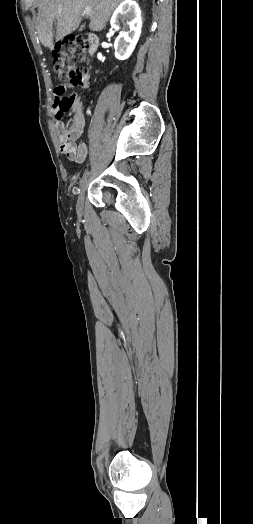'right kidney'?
<instances>
[{
    "label": "right kidney",
    "instance_id": "right-kidney-1",
    "mask_svg": "<svg viewBox=\"0 0 253 524\" xmlns=\"http://www.w3.org/2000/svg\"><path fill=\"white\" fill-rule=\"evenodd\" d=\"M120 21L123 28L114 43L115 57L126 60L135 49L142 28L141 10L135 1L125 0L118 6L111 17V27L118 29Z\"/></svg>",
    "mask_w": 253,
    "mask_h": 524
}]
</instances>
